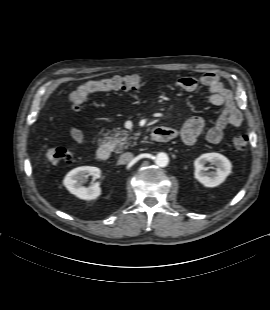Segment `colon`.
<instances>
[{"label":"colon","mask_w":270,"mask_h":310,"mask_svg":"<svg viewBox=\"0 0 270 310\" xmlns=\"http://www.w3.org/2000/svg\"><path fill=\"white\" fill-rule=\"evenodd\" d=\"M142 83L138 75L116 76L100 81H90L80 85L70 96L69 103L73 108L80 107L94 91L133 90ZM249 143V137L240 134L234 137L233 145L237 150H244ZM48 160L54 165H61L71 160L70 152L63 147H53L47 151Z\"/></svg>","instance_id":"1"}]
</instances>
